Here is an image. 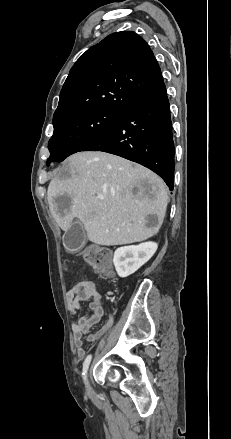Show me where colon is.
<instances>
[{
  "instance_id": "obj_1",
  "label": "colon",
  "mask_w": 231,
  "mask_h": 439,
  "mask_svg": "<svg viewBox=\"0 0 231 439\" xmlns=\"http://www.w3.org/2000/svg\"><path fill=\"white\" fill-rule=\"evenodd\" d=\"M84 260L104 276L112 275L111 257L106 248L89 245L82 250Z\"/></svg>"
}]
</instances>
